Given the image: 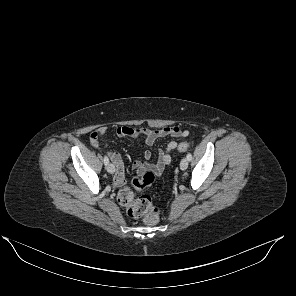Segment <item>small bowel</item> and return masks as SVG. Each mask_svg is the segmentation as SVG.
<instances>
[{
	"instance_id": "obj_1",
	"label": "small bowel",
	"mask_w": 296,
	"mask_h": 296,
	"mask_svg": "<svg viewBox=\"0 0 296 296\" xmlns=\"http://www.w3.org/2000/svg\"><path fill=\"white\" fill-rule=\"evenodd\" d=\"M108 131L107 127H101L90 134V143L97 149L102 148L100 138L103 137ZM116 134L119 137H143L145 143L148 146H153L158 139L172 137V138H184L188 136V130H182L178 126H167L161 129H148V128H131L128 126H119L116 128ZM177 148V143L171 141L164 149L158 150L157 160L154 163L149 162L151 159V152L146 150L143 153L144 162L135 160L132 163V168L141 174L145 171H152L156 175H160L164 168L171 162V153ZM111 161L114 163L116 170L113 178V182L116 186H123L125 180V168L121 155L117 152H108Z\"/></svg>"
}]
</instances>
